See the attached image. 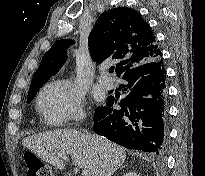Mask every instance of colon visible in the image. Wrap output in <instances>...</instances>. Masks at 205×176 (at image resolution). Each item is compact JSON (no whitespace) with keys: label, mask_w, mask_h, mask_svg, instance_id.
<instances>
[{"label":"colon","mask_w":205,"mask_h":176,"mask_svg":"<svg viewBox=\"0 0 205 176\" xmlns=\"http://www.w3.org/2000/svg\"><path fill=\"white\" fill-rule=\"evenodd\" d=\"M23 161L27 167V176H52L50 167L33 152L25 151Z\"/></svg>","instance_id":"5ec220e1"}]
</instances>
